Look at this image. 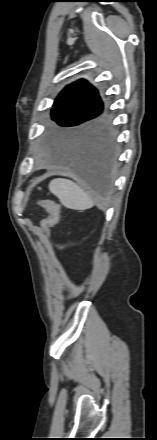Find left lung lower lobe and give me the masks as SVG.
<instances>
[{
  "mask_svg": "<svg viewBox=\"0 0 157 440\" xmlns=\"http://www.w3.org/2000/svg\"><path fill=\"white\" fill-rule=\"evenodd\" d=\"M66 147V167L82 177L96 191H107L117 159L112 128L107 127L97 133L72 139Z\"/></svg>",
  "mask_w": 157,
  "mask_h": 440,
  "instance_id": "0a47b994",
  "label": "left lung lower lobe"
}]
</instances>
